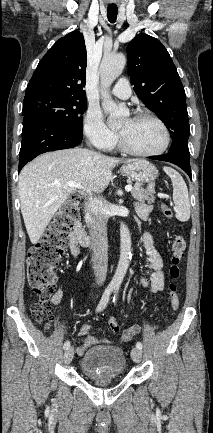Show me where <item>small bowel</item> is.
Listing matches in <instances>:
<instances>
[{
    "instance_id": "obj_1",
    "label": "small bowel",
    "mask_w": 213,
    "mask_h": 433,
    "mask_svg": "<svg viewBox=\"0 0 213 433\" xmlns=\"http://www.w3.org/2000/svg\"><path fill=\"white\" fill-rule=\"evenodd\" d=\"M137 214L141 219H147L150 212L151 206L145 203H139L136 206ZM143 248L147 261L148 276L142 277L140 279L141 284L148 288L154 295L159 294L164 289V273H163V260L153 244V238L148 232L143 233L142 237ZM69 249L70 254L73 258H77L80 255V245L77 242L73 232L69 237ZM63 293L62 291H56L50 301L53 305H60L62 301ZM49 324L46 328H49ZM140 328L138 325H133L126 331L130 332L129 338H124L123 334L120 338V342H127L133 336L138 334ZM79 335L84 337V342L77 347V353L84 354L91 346L100 342V339L90 334V326L88 324H83L80 328ZM108 343V340H105Z\"/></svg>"
}]
</instances>
